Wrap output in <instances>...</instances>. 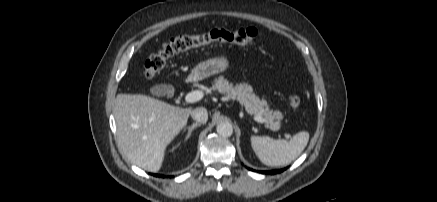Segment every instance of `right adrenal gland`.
I'll list each match as a JSON object with an SVG mask.
<instances>
[{
    "mask_svg": "<svg viewBox=\"0 0 437 202\" xmlns=\"http://www.w3.org/2000/svg\"><path fill=\"white\" fill-rule=\"evenodd\" d=\"M198 126H201V123H193L192 126L187 127L188 133H187L184 141H186L190 137L192 131ZM184 130H186V128Z\"/></svg>",
    "mask_w": 437,
    "mask_h": 202,
    "instance_id": "2a0ac1e0",
    "label": "right adrenal gland"
}]
</instances>
